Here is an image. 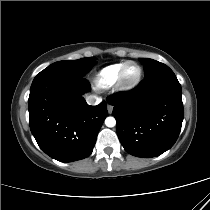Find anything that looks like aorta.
Here are the masks:
<instances>
[{"label":"aorta","instance_id":"aorta-1","mask_svg":"<svg viewBox=\"0 0 210 210\" xmlns=\"http://www.w3.org/2000/svg\"><path fill=\"white\" fill-rule=\"evenodd\" d=\"M105 124L107 127H114L116 125V120L114 117H107L105 119Z\"/></svg>","mask_w":210,"mask_h":210}]
</instances>
